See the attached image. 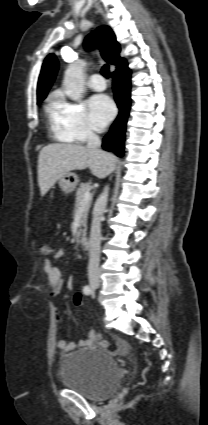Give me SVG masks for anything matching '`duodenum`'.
<instances>
[{
    "mask_svg": "<svg viewBox=\"0 0 208 425\" xmlns=\"http://www.w3.org/2000/svg\"><path fill=\"white\" fill-rule=\"evenodd\" d=\"M81 246L83 248L84 251H88L89 250V243L86 239H83L81 241Z\"/></svg>",
    "mask_w": 208,
    "mask_h": 425,
    "instance_id": "obj_1",
    "label": "duodenum"
}]
</instances>
